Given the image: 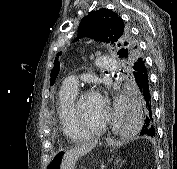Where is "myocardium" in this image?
Wrapping results in <instances>:
<instances>
[{"label":"myocardium","instance_id":"myocardium-1","mask_svg":"<svg viewBox=\"0 0 177 169\" xmlns=\"http://www.w3.org/2000/svg\"><path fill=\"white\" fill-rule=\"evenodd\" d=\"M91 94L92 93L88 90L81 91L79 94H77L73 102V105H72V116H73L75 129L79 135L84 136V137L101 134L108 127L110 119H111L110 110L108 107H105V118H104V121L99 126L88 128L82 124V120L79 115V105L85 96H88Z\"/></svg>","mask_w":177,"mask_h":169}]
</instances>
